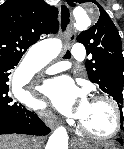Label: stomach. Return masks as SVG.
Wrapping results in <instances>:
<instances>
[{"label":"stomach","mask_w":124,"mask_h":149,"mask_svg":"<svg viewBox=\"0 0 124 149\" xmlns=\"http://www.w3.org/2000/svg\"><path fill=\"white\" fill-rule=\"evenodd\" d=\"M80 149H112L108 144L81 145Z\"/></svg>","instance_id":"stomach-1"}]
</instances>
